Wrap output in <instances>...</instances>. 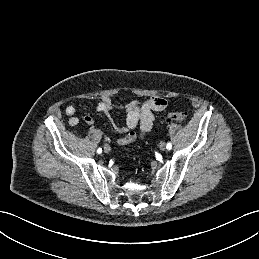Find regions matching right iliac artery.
<instances>
[{"label":"right iliac artery","mask_w":259,"mask_h":259,"mask_svg":"<svg viewBox=\"0 0 259 259\" xmlns=\"http://www.w3.org/2000/svg\"><path fill=\"white\" fill-rule=\"evenodd\" d=\"M97 152H98V153H101V152H102V149H101V148H98V149H97Z\"/></svg>","instance_id":"1"}]
</instances>
